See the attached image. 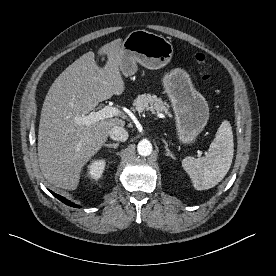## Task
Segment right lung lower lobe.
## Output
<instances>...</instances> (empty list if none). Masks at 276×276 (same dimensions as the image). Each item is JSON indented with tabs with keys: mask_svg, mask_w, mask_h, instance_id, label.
I'll return each instance as SVG.
<instances>
[{
	"mask_svg": "<svg viewBox=\"0 0 276 276\" xmlns=\"http://www.w3.org/2000/svg\"><path fill=\"white\" fill-rule=\"evenodd\" d=\"M57 199H59L60 201H62L63 203H65L66 205L68 206H72V207H76V208H80L79 205L77 204H74L72 202H70L69 200L65 199L64 197L58 195V194H55L54 192L50 191Z\"/></svg>",
	"mask_w": 276,
	"mask_h": 276,
	"instance_id": "1",
	"label": "right lung lower lobe"
}]
</instances>
